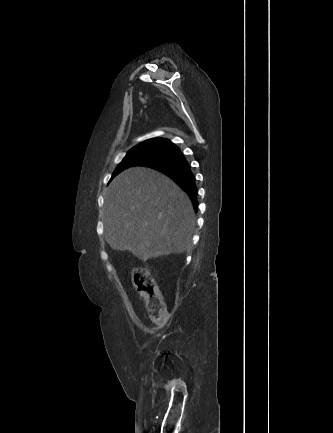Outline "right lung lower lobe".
<instances>
[{
    "instance_id": "98d812e1",
    "label": "right lung lower lobe",
    "mask_w": 333,
    "mask_h": 433,
    "mask_svg": "<svg viewBox=\"0 0 333 433\" xmlns=\"http://www.w3.org/2000/svg\"><path fill=\"white\" fill-rule=\"evenodd\" d=\"M162 143L172 148V151L164 157L141 166L157 169L170 177L190 196L193 207L197 210L198 202L195 177L186 158L181 153L180 149L170 141H162Z\"/></svg>"
}]
</instances>
